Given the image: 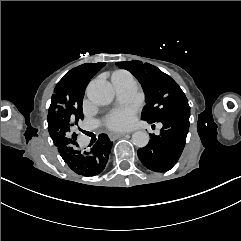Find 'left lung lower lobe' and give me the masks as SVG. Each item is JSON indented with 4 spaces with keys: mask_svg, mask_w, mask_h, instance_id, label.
Here are the masks:
<instances>
[{
    "mask_svg": "<svg viewBox=\"0 0 241 241\" xmlns=\"http://www.w3.org/2000/svg\"><path fill=\"white\" fill-rule=\"evenodd\" d=\"M190 112L161 121L160 135L150 134V141L138 150L145 167L155 172L170 170L178 161L185 146L189 130Z\"/></svg>",
    "mask_w": 241,
    "mask_h": 241,
    "instance_id": "0a47b994",
    "label": "left lung lower lobe"
}]
</instances>
